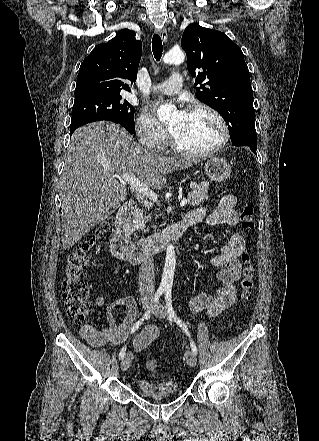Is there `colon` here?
I'll use <instances>...</instances> for the list:
<instances>
[{
	"mask_svg": "<svg viewBox=\"0 0 319 441\" xmlns=\"http://www.w3.org/2000/svg\"><path fill=\"white\" fill-rule=\"evenodd\" d=\"M253 214L252 205L248 201H244L240 208L239 219L245 235H248L254 228ZM109 229L110 224L104 222L94 233L85 237L67 256L62 282V296L67 317L74 323L85 325L92 311L89 291L85 282L86 266L91 256L97 252L100 240ZM242 261L245 267L240 281V298L242 303H246L252 298L255 269L251 256L247 252L243 254ZM160 367L161 363L157 359H150L146 362L147 370L152 373L157 372Z\"/></svg>",
	"mask_w": 319,
	"mask_h": 441,
	"instance_id": "5ec220e1",
	"label": "colon"
}]
</instances>
